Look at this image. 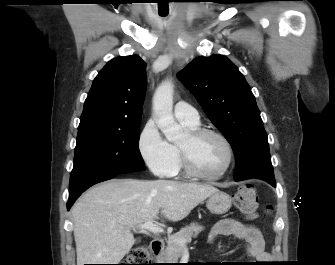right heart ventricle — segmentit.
<instances>
[{"mask_svg":"<svg viewBox=\"0 0 335 265\" xmlns=\"http://www.w3.org/2000/svg\"><path fill=\"white\" fill-rule=\"evenodd\" d=\"M185 126H187L188 128H190L191 130L193 129H197L198 128V125H189V124H186L184 122H182ZM175 150H176V154H177V160H176V164H175V167L174 169L172 170V172L168 175V176H171V177H175V176H178L180 173H181V169H182V162H181V158H180V153H179V150H178V147L174 146Z\"/></svg>","mask_w":335,"mask_h":265,"instance_id":"right-heart-ventricle-1","label":"right heart ventricle"}]
</instances>
